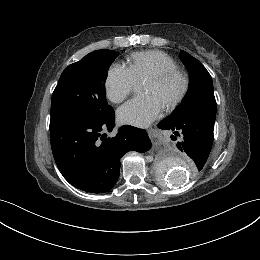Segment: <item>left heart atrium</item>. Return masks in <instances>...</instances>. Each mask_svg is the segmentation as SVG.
<instances>
[{"mask_svg": "<svg viewBox=\"0 0 260 260\" xmlns=\"http://www.w3.org/2000/svg\"><path fill=\"white\" fill-rule=\"evenodd\" d=\"M163 106L156 96L148 94L133 98L121 106L118 117L123 123L145 126L160 115Z\"/></svg>", "mask_w": 260, "mask_h": 260, "instance_id": "obj_1", "label": "left heart atrium"}]
</instances>
